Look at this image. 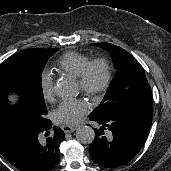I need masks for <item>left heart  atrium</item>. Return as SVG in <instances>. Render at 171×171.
Masks as SVG:
<instances>
[{"label": "left heart atrium", "instance_id": "1", "mask_svg": "<svg viewBox=\"0 0 171 171\" xmlns=\"http://www.w3.org/2000/svg\"><path fill=\"white\" fill-rule=\"evenodd\" d=\"M89 111V105L81 99H66L54 110L53 119L57 123L76 124Z\"/></svg>", "mask_w": 171, "mask_h": 171}]
</instances>
